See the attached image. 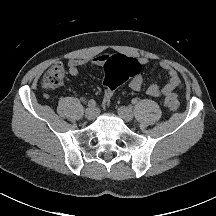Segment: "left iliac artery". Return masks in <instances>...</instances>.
Instances as JSON below:
<instances>
[{"label": "left iliac artery", "mask_w": 216, "mask_h": 216, "mask_svg": "<svg viewBox=\"0 0 216 216\" xmlns=\"http://www.w3.org/2000/svg\"><path fill=\"white\" fill-rule=\"evenodd\" d=\"M131 102H132V104H136L137 103V99L134 98V99H132Z\"/></svg>", "instance_id": "obj_1"}]
</instances>
